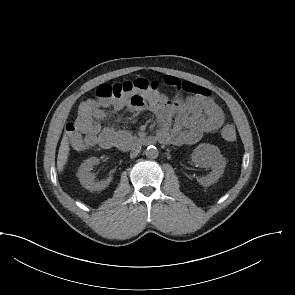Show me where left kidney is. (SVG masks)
<instances>
[{"instance_id": "obj_1", "label": "left kidney", "mask_w": 295, "mask_h": 295, "mask_svg": "<svg viewBox=\"0 0 295 295\" xmlns=\"http://www.w3.org/2000/svg\"><path fill=\"white\" fill-rule=\"evenodd\" d=\"M192 161L201 167L211 168V172L205 177L199 178L198 182L203 186H210L224 173L226 160L221 155L219 148L215 145L199 144L191 155Z\"/></svg>"}]
</instances>
